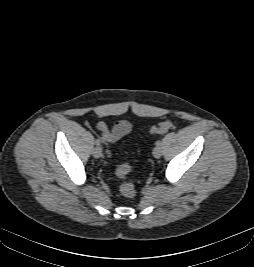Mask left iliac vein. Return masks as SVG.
<instances>
[{"mask_svg":"<svg viewBox=\"0 0 254 267\" xmlns=\"http://www.w3.org/2000/svg\"><path fill=\"white\" fill-rule=\"evenodd\" d=\"M162 155V148L160 146H156L154 149H153V156L155 158H159L161 157Z\"/></svg>","mask_w":254,"mask_h":267,"instance_id":"1","label":"left iliac vein"}]
</instances>
